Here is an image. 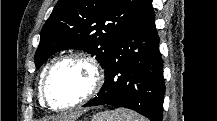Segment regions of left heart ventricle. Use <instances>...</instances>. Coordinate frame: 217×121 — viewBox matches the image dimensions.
<instances>
[{"label":"left heart ventricle","instance_id":"obj_1","mask_svg":"<svg viewBox=\"0 0 217 121\" xmlns=\"http://www.w3.org/2000/svg\"><path fill=\"white\" fill-rule=\"evenodd\" d=\"M93 82L91 67L83 61H71L59 66L49 83V96L56 106L76 102L90 89Z\"/></svg>","mask_w":217,"mask_h":121}]
</instances>
